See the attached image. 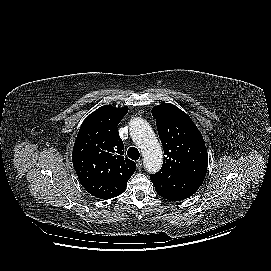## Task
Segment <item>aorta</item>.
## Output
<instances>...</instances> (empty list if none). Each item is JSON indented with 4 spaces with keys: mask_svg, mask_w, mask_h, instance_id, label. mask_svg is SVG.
Masks as SVG:
<instances>
[{
    "mask_svg": "<svg viewBox=\"0 0 271 271\" xmlns=\"http://www.w3.org/2000/svg\"><path fill=\"white\" fill-rule=\"evenodd\" d=\"M130 136L141 149L144 167L149 173L160 170L163 162L162 147L147 121L134 118L130 121Z\"/></svg>",
    "mask_w": 271,
    "mask_h": 271,
    "instance_id": "1",
    "label": "aorta"
}]
</instances>
